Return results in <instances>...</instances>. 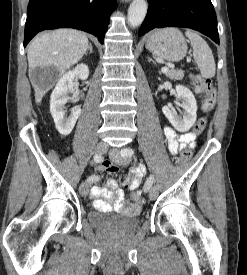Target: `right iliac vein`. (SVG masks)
<instances>
[{
	"instance_id": "1",
	"label": "right iliac vein",
	"mask_w": 247,
	"mask_h": 275,
	"mask_svg": "<svg viewBox=\"0 0 247 275\" xmlns=\"http://www.w3.org/2000/svg\"><path fill=\"white\" fill-rule=\"evenodd\" d=\"M107 149H108V145L105 142H100L95 145L94 153L102 155L107 151ZM89 187H90L89 183L87 181H83L79 187L80 194L82 196H86L89 192Z\"/></svg>"
}]
</instances>
